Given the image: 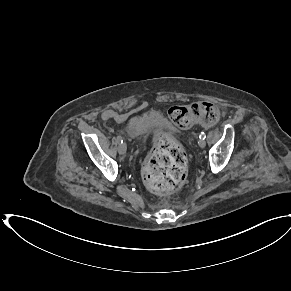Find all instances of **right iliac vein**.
Masks as SVG:
<instances>
[{"mask_svg":"<svg viewBox=\"0 0 291 291\" xmlns=\"http://www.w3.org/2000/svg\"><path fill=\"white\" fill-rule=\"evenodd\" d=\"M126 151H127V146H126V143L123 142V143H119L118 145V152L120 155H125L126 154Z\"/></svg>","mask_w":291,"mask_h":291,"instance_id":"63e3f726","label":"right iliac vein"}]
</instances>
